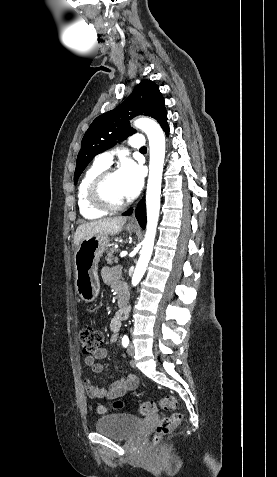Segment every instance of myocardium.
<instances>
[{
	"label": "myocardium",
	"instance_id": "obj_1",
	"mask_svg": "<svg viewBox=\"0 0 277 477\" xmlns=\"http://www.w3.org/2000/svg\"><path fill=\"white\" fill-rule=\"evenodd\" d=\"M117 173L114 169H105L96 175L87 188V200L94 208L105 212H116L125 208L127 200L119 203L109 201L104 194V186L110 176Z\"/></svg>",
	"mask_w": 277,
	"mask_h": 477
}]
</instances>
